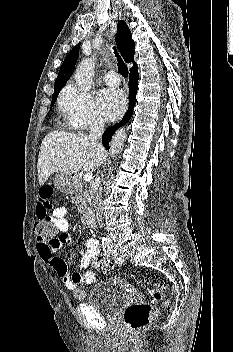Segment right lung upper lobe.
I'll list each match as a JSON object with an SVG mask.
<instances>
[{
  "instance_id": "right-lung-upper-lobe-1",
  "label": "right lung upper lobe",
  "mask_w": 233,
  "mask_h": 352,
  "mask_svg": "<svg viewBox=\"0 0 233 352\" xmlns=\"http://www.w3.org/2000/svg\"><path fill=\"white\" fill-rule=\"evenodd\" d=\"M116 44L118 46L119 51L122 54L125 62L130 63L134 60V48L135 43L132 40V34L130 29L128 28L125 21L118 22V29L116 35ZM80 44H77L64 59L63 64L59 70L58 77L55 81L54 89L59 90L64 87L66 82L70 79L73 69L75 67L76 61L79 55ZM137 65L133 62V67L131 71L137 70Z\"/></svg>"
}]
</instances>
